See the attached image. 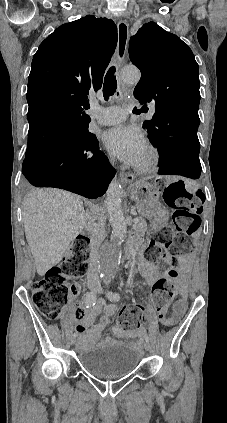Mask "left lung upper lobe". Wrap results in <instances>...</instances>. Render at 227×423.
I'll return each mask as SVG.
<instances>
[{
	"label": "left lung upper lobe",
	"instance_id": "obj_1",
	"mask_svg": "<svg viewBox=\"0 0 227 423\" xmlns=\"http://www.w3.org/2000/svg\"><path fill=\"white\" fill-rule=\"evenodd\" d=\"M129 55L141 70L134 97L156 109L152 120L143 123L150 140L184 122H200L198 64L186 43L149 22L131 38Z\"/></svg>",
	"mask_w": 227,
	"mask_h": 423
}]
</instances>
